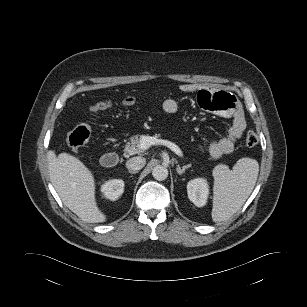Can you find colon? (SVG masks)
Here are the masks:
<instances>
[{"label":"colon","mask_w":307,"mask_h":307,"mask_svg":"<svg viewBox=\"0 0 307 307\" xmlns=\"http://www.w3.org/2000/svg\"><path fill=\"white\" fill-rule=\"evenodd\" d=\"M134 100L133 98H126L123 103L125 105H131L133 104ZM109 106V102L107 101H101L96 103L93 107L92 110H101L105 109ZM90 138V131L89 129L84 126H78L75 129H73L67 138L68 145L73 149V150H78L82 147H84ZM259 138L258 135L254 131H249L246 134L245 142L248 147H254L258 144Z\"/></svg>","instance_id":"obj_1"}]
</instances>
